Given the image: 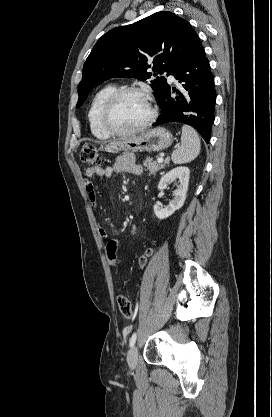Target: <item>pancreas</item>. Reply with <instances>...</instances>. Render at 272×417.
Segmentation results:
<instances>
[{
    "label": "pancreas",
    "instance_id": "obj_1",
    "mask_svg": "<svg viewBox=\"0 0 272 417\" xmlns=\"http://www.w3.org/2000/svg\"><path fill=\"white\" fill-rule=\"evenodd\" d=\"M143 165L146 167V170H149L150 174H156L157 171L165 167V164H158L151 158H147Z\"/></svg>",
    "mask_w": 272,
    "mask_h": 417
}]
</instances>
